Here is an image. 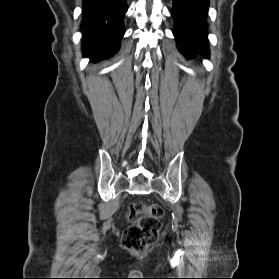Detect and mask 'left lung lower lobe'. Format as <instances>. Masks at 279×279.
<instances>
[{
  "instance_id": "left-lung-lower-lobe-1",
  "label": "left lung lower lobe",
  "mask_w": 279,
  "mask_h": 279,
  "mask_svg": "<svg viewBox=\"0 0 279 279\" xmlns=\"http://www.w3.org/2000/svg\"><path fill=\"white\" fill-rule=\"evenodd\" d=\"M173 34L180 51L187 57L194 50L208 54L206 18L209 0H172Z\"/></svg>"
}]
</instances>
